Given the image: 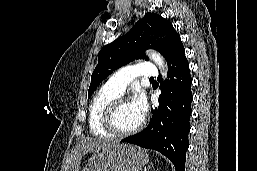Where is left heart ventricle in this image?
I'll list each match as a JSON object with an SVG mask.
<instances>
[{"mask_svg": "<svg viewBox=\"0 0 257 171\" xmlns=\"http://www.w3.org/2000/svg\"><path fill=\"white\" fill-rule=\"evenodd\" d=\"M142 118L136 113L130 102L121 104L115 114V124L120 130H130L141 122Z\"/></svg>", "mask_w": 257, "mask_h": 171, "instance_id": "obj_1", "label": "left heart ventricle"}]
</instances>
